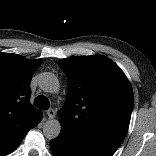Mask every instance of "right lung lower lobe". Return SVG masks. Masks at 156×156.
Instances as JSON below:
<instances>
[{
    "label": "right lung lower lobe",
    "instance_id": "98d812e1",
    "mask_svg": "<svg viewBox=\"0 0 156 156\" xmlns=\"http://www.w3.org/2000/svg\"><path fill=\"white\" fill-rule=\"evenodd\" d=\"M26 133H24L20 138L17 139V141H15L13 144H11L9 146L5 145V144H1V146H0V156H2L4 154H7V153L11 152L12 150L16 149L19 146L22 139L24 138V136L26 135Z\"/></svg>",
    "mask_w": 156,
    "mask_h": 156
}]
</instances>
